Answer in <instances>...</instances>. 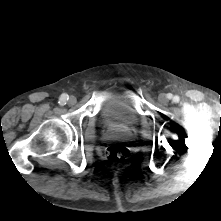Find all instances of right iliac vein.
<instances>
[{"label": "right iliac vein", "instance_id": "obj_1", "mask_svg": "<svg viewBox=\"0 0 221 221\" xmlns=\"http://www.w3.org/2000/svg\"><path fill=\"white\" fill-rule=\"evenodd\" d=\"M76 97L75 96H70L69 98H68V103L70 104V105H74L75 103H76Z\"/></svg>", "mask_w": 221, "mask_h": 221}]
</instances>
